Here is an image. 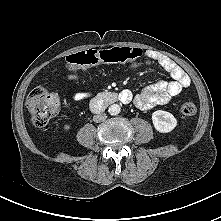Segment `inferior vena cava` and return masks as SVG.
<instances>
[{
    "instance_id": "inferior-vena-cava-1",
    "label": "inferior vena cava",
    "mask_w": 221,
    "mask_h": 221,
    "mask_svg": "<svg viewBox=\"0 0 221 221\" xmlns=\"http://www.w3.org/2000/svg\"><path fill=\"white\" fill-rule=\"evenodd\" d=\"M107 118L106 114L105 113H102V114H97L93 117V120L94 122L96 123H100V122H103L105 121Z\"/></svg>"
}]
</instances>
